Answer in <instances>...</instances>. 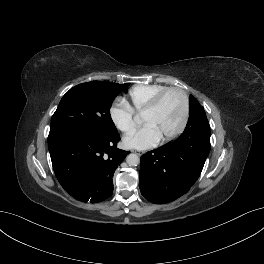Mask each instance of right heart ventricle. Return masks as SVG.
<instances>
[{"label":"right heart ventricle","instance_id":"e07e8e85","mask_svg":"<svg viewBox=\"0 0 264 264\" xmlns=\"http://www.w3.org/2000/svg\"><path fill=\"white\" fill-rule=\"evenodd\" d=\"M168 88L162 84H142L129 89L127 104L134 112L142 113L151 100L162 90Z\"/></svg>","mask_w":264,"mask_h":264}]
</instances>
